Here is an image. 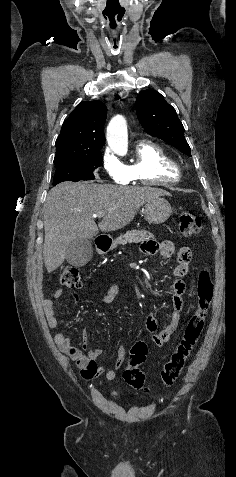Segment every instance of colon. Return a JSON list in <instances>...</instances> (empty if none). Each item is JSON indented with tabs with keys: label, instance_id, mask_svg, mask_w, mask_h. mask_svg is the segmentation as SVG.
I'll list each match as a JSON object with an SVG mask.
<instances>
[{
	"label": "colon",
	"instance_id": "5ec220e1",
	"mask_svg": "<svg viewBox=\"0 0 236 477\" xmlns=\"http://www.w3.org/2000/svg\"><path fill=\"white\" fill-rule=\"evenodd\" d=\"M201 229L200 218L192 212H183L179 218V231L184 238L194 237ZM61 284L70 289H78L83 284V278L76 267L67 266L60 276ZM213 282L208 271H201L197 280V301L195 309L185 328L179 336V343L164 364L160 380L166 387H171L181 376L184 366L190 357L203 331L205 320L213 297ZM148 354L144 342L135 343L129 352L130 365L125 369L123 378L128 385L135 389L146 390L145 372L139 368Z\"/></svg>",
	"mask_w": 236,
	"mask_h": 477
}]
</instances>
